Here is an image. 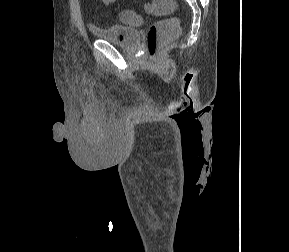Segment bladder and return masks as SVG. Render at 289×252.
I'll return each mask as SVG.
<instances>
[{
  "mask_svg": "<svg viewBox=\"0 0 289 252\" xmlns=\"http://www.w3.org/2000/svg\"><path fill=\"white\" fill-rule=\"evenodd\" d=\"M90 30L97 38L122 47L134 46L140 39V33L137 29L121 25L91 26Z\"/></svg>",
  "mask_w": 289,
  "mask_h": 252,
  "instance_id": "31cf9c89",
  "label": "bladder"
}]
</instances>
